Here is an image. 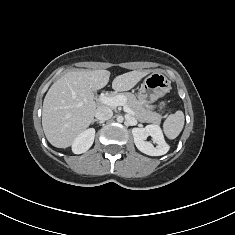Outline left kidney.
<instances>
[{
  "mask_svg": "<svg viewBox=\"0 0 235 235\" xmlns=\"http://www.w3.org/2000/svg\"><path fill=\"white\" fill-rule=\"evenodd\" d=\"M132 134L134 137V143L138 150L149 156H161L168 152L169 146L165 142L162 130L159 125L151 124L144 128H133ZM151 136L156 147L148 141L147 137Z\"/></svg>",
  "mask_w": 235,
  "mask_h": 235,
  "instance_id": "5707ae66",
  "label": "left kidney"
}]
</instances>
